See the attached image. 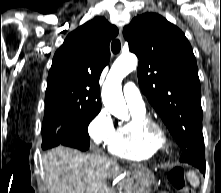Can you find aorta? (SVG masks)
Returning a JSON list of instances; mask_svg holds the SVG:
<instances>
[{
  "label": "aorta",
  "mask_w": 221,
  "mask_h": 193,
  "mask_svg": "<svg viewBox=\"0 0 221 193\" xmlns=\"http://www.w3.org/2000/svg\"><path fill=\"white\" fill-rule=\"evenodd\" d=\"M134 54L121 55L113 63L102 87V101L106 109L119 119H128V107L123 97L121 83L137 67Z\"/></svg>",
  "instance_id": "762f6f07"
}]
</instances>
